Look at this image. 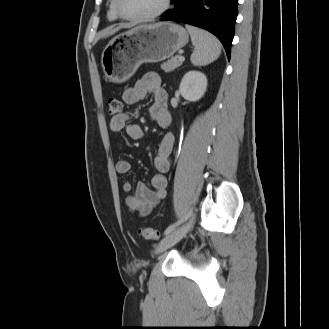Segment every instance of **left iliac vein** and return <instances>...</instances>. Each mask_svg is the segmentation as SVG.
Segmentation results:
<instances>
[{
  "label": "left iliac vein",
  "mask_w": 329,
  "mask_h": 329,
  "mask_svg": "<svg viewBox=\"0 0 329 329\" xmlns=\"http://www.w3.org/2000/svg\"><path fill=\"white\" fill-rule=\"evenodd\" d=\"M192 225L193 218L186 224L177 229H174L169 234H167L156 246L155 254H160L179 242L189 232Z\"/></svg>",
  "instance_id": "left-iliac-vein-1"
}]
</instances>
